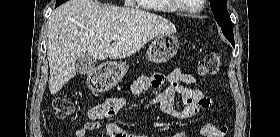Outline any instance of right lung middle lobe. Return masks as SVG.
<instances>
[{
  "label": "right lung middle lobe",
  "mask_w": 280,
  "mask_h": 137,
  "mask_svg": "<svg viewBox=\"0 0 280 137\" xmlns=\"http://www.w3.org/2000/svg\"><path fill=\"white\" fill-rule=\"evenodd\" d=\"M67 0H57L55 7L61 5L62 3L66 2Z\"/></svg>",
  "instance_id": "obj_1"
}]
</instances>
